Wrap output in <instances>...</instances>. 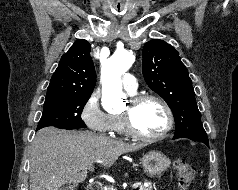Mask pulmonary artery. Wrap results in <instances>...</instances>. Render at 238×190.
Here are the masks:
<instances>
[{
  "instance_id": "obj_1",
  "label": "pulmonary artery",
  "mask_w": 238,
  "mask_h": 190,
  "mask_svg": "<svg viewBox=\"0 0 238 190\" xmlns=\"http://www.w3.org/2000/svg\"><path fill=\"white\" fill-rule=\"evenodd\" d=\"M122 84L123 88L130 94H134L138 88L136 78L130 73H127L123 76Z\"/></svg>"
}]
</instances>
